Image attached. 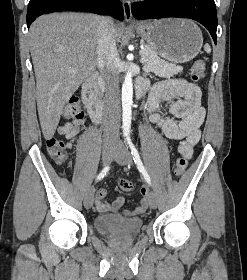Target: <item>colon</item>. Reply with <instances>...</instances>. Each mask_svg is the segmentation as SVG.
<instances>
[{
    "mask_svg": "<svg viewBox=\"0 0 247 280\" xmlns=\"http://www.w3.org/2000/svg\"><path fill=\"white\" fill-rule=\"evenodd\" d=\"M206 64L203 60H197L191 67L190 75L194 81L203 79L205 75ZM65 116L74 119H80L84 117V113L80 107L79 100L73 98L69 101L65 109ZM48 153L57 162L63 163L66 160V145L63 141L56 138H50L46 143ZM187 168V161L185 158H179L176 160L174 166V173L177 176H181ZM121 188L124 191H131L133 184L130 181H122Z\"/></svg>",
    "mask_w": 247,
    "mask_h": 280,
    "instance_id": "obj_1",
    "label": "colon"
}]
</instances>
